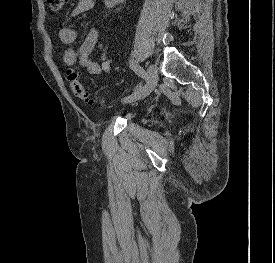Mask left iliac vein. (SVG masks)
I'll return each mask as SVG.
<instances>
[{"label":"left iliac vein","instance_id":"obj_1","mask_svg":"<svg viewBox=\"0 0 275 263\" xmlns=\"http://www.w3.org/2000/svg\"><path fill=\"white\" fill-rule=\"evenodd\" d=\"M158 81V70L156 65L151 64L148 67L147 71V79L145 84L142 88L137 90L135 93L129 95L128 97L124 98V103H131L140 99L145 98L148 96L152 90L155 88Z\"/></svg>","mask_w":275,"mask_h":263}]
</instances>
